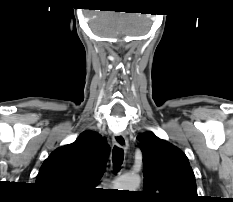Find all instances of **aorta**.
Segmentation results:
<instances>
[{
  "label": "aorta",
  "instance_id": "1",
  "mask_svg": "<svg viewBox=\"0 0 233 202\" xmlns=\"http://www.w3.org/2000/svg\"><path fill=\"white\" fill-rule=\"evenodd\" d=\"M141 179L137 175H123L116 180V186L119 190L136 191L139 187Z\"/></svg>",
  "mask_w": 233,
  "mask_h": 202
}]
</instances>
